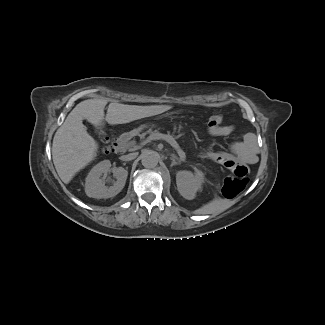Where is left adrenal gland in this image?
I'll use <instances>...</instances> for the list:
<instances>
[{"label": "left adrenal gland", "instance_id": "1", "mask_svg": "<svg viewBox=\"0 0 325 325\" xmlns=\"http://www.w3.org/2000/svg\"><path fill=\"white\" fill-rule=\"evenodd\" d=\"M171 160H172L171 167L180 164L182 161V159L177 158L175 155H171Z\"/></svg>", "mask_w": 325, "mask_h": 325}]
</instances>
